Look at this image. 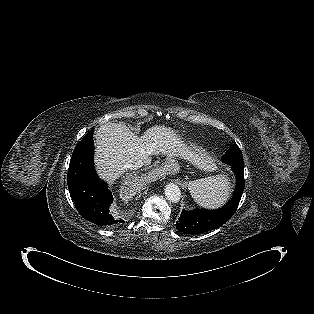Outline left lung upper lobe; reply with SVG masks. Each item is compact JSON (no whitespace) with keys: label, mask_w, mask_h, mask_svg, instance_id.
<instances>
[{"label":"left lung upper lobe","mask_w":314,"mask_h":314,"mask_svg":"<svg viewBox=\"0 0 314 314\" xmlns=\"http://www.w3.org/2000/svg\"><path fill=\"white\" fill-rule=\"evenodd\" d=\"M222 161L229 164H243V156L241 150L236 144H233L222 156Z\"/></svg>","instance_id":"left-lung-upper-lobe-1"}]
</instances>
